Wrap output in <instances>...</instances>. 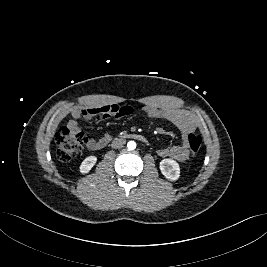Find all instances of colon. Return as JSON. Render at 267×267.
Masks as SVG:
<instances>
[{"label": "colon", "mask_w": 267, "mask_h": 267, "mask_svg": "<svg viewBox=\"0 0 267 267\" xmlns=\"http://www.w3.org/2000/svg\"><path fill=\"white\" fill-rule=\"evenodd\" d=\"M87 141V132L80 128H72L69 125L61 127L55 134L57 158L62 162L70 161L82 151ZM187 143L190 151L196 154L201 149L202 139L199 135L190 134Z\"/></svg>", "instance_id": "obj_1"}]
</instances>
